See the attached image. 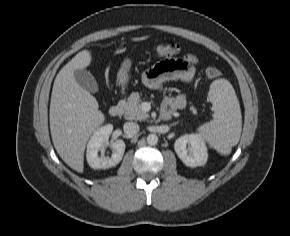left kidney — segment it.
<instances>
[{
	"label": "left kidney",
	"mask_w": 290,
	"mask_h": 236,
	"mask_svg": "<svg viewBox=\"0 0 290 236\" xmlns=\"http://www.w3.org/2000/svg\"><path fill=\"white\" fill-rule=\"evenodd\" d=\"M174 149L186 166H203L207 162V147L199 134H186L181 136L175 141Z\"/></svg>",
	"instance_id": "1"
}]
</instances>
